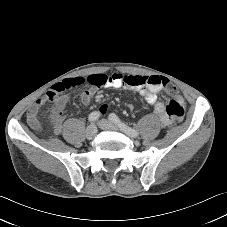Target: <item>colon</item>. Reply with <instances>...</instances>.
I'll return each instance as SVG.
<instances>
[{"label": "colon", "mask_w": 227, "mask_h": 227, "mask_svg": "<svg viewBox=\"0 0 227 227\" xmlns=\"http://www.w3.org/2000/svg\"><path fill=\"white\" fill-rule=\"evenodd\" d=\"M144 82L151 85H161L169 94H174L176 92V87L171 84L167 79L162 77H150Z\"/></svg>", "instance_id": "obj_1"}]
</instances>
